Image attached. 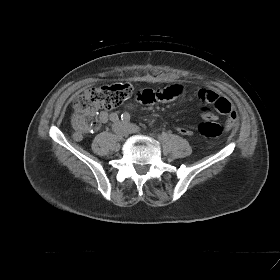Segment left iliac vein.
<instances>
[{
  "label": "left iliac vein",
  "instance_id": "left-iliac-vein-1",
  "mask_svg": "<svg viewBox=\"0 0 280 280\" xmlns=\"http://www.w3.org/2000/svg\"><path fill=\"white\" fill-rule=\"evenodd\" d=\"M129 128L131 129L132 132L137 133L140 131L139 127L136 126L135 124H130Z\"/></svg>",
  "mask_w": 280,
  "mask_h": 280
}]
</instances>
